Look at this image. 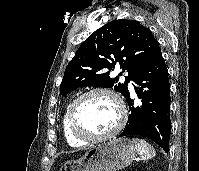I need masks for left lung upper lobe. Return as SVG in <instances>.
<instances>
[{
  "label": "left lung upper lobe",
  "instance_id": "1",
  "mask_svg": "<svg viewBox=\"0 0 199 171\" xmlns=\"http://www.w3.org/2000/svg\"><path fill=\"white\" fill-rule=\"evenodd\" d=\"M158 41L151 31L136 20H114L92 33L67 65L60 94L84 86L114 88L126 95L128 83L150 58ZM119 64L122 72L111 78L109 72ZM106 69L109 71L106 72ZM128 72L124 83L118 77Z\"/></svg>",
  "mask_w": 199,
  "mask_h": 171
}]
</instances>
